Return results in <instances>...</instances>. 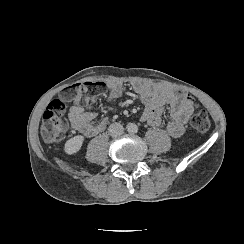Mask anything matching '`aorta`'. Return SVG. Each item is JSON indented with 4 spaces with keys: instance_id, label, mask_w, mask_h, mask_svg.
Listing matches in <instances>:
<instances>
[{
    "instance_id": "aorta-1",
    "label": "aorta",
    "mask_w": 244,
    "mask_h": 244,
    "mask_svg": "<svg viewBox=\"0 0 244 244\" xmlns=\"http://www.w3.org/2000/svg\"><path fill=\"white\" fill-rule=\"evenodd\" d=\"M127 131L129 132V133H136L137 132V130H138V127H137V125L136 124H134V123H129V124H127Z\"/></svg>"
}]
</instances>
